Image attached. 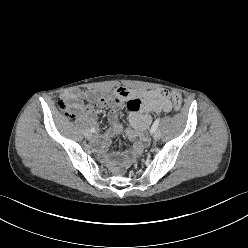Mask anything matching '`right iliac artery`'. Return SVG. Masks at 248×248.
I'll return each mask as SVG.
<instances>
[{
  "mask_svg": "<svg viewBox=\"0 0 248 248\" xmlns=\"http://www.w3.org/2000/svg\"><path fill=\"white\" fill-rule=\"evenodd\" d=\"M90 131H91V132H94V131H95V129H94V128H92Z\"/></svg>",
  "mask_w": 248,
  "mask_h": 248,
  "instance_id": "right-iliac-artery-1",
  "label": "right iliac artery"
}]
</instances>
